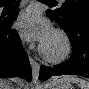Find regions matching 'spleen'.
I'll list each match as a JSON object with an SVG mask.
<instances>
[{"label":"spleen","mask_w":89,"mask_h":89,"mask_svg":"<svg viewBox=\"0 0 89 89\" xmlns=\"http://www.w3.org/2000/svg\"><path fill=\"white\" fill-rule=\"evenodd\" d=\"M62 80L69 82V83L70 82L75 83L76 85L80 87V89H89V83L83 79H79L73 76H67V77H64Z\"/></svg>","instance_id":"3e777b00"}]
</instances>
